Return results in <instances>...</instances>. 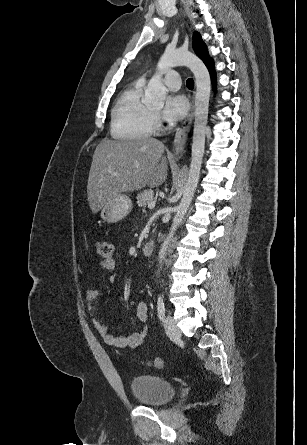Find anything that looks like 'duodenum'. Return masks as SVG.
Returning a JSON list of instances; mask_svg holds the SVG:
<instances>
[{
    "mask_svg": "<svg viewBox=\"0 0 307 445\" xmlns=\"http://www.w3.org/2000/svg\"><path fill=\"white\" fill-rule=\"evenodd\" d=\"M154 249H155L154 241H148L143 245L142 252L145 256H150L154 252Z\"/></svg>",
    "mask_w": 307,
    "mask_h": 445,
    "instance_id": "1",
    "label": "duodenum"
}]
</instances>
